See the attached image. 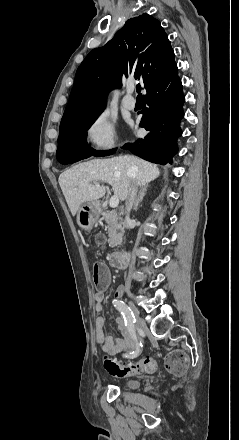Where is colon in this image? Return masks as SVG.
<instances>
[{"instance_id": "colon-1", "label": "colon", "mask_w": 239, "mask_h": 440, "mask_svg": "<svg viewBox=\"0 0 239 440\" xmlns=\"http://www.w3.org/2000/svg\"><path fill=\"white\" fill-rule=\"evenodd\" d=\"M102 240L101 236L97 237ZM93 282L96 287L103 288L108 281L105 266L96 262L93 265ZM166 368L173 374H182L187 367L186 356L180 351L171 352L166 358ZM104 367L113 376L126 377L136 374L152 373L156 369V363L151 358H144L134 362H124L115 360L109 356L104 357Z\"/></svg>"}]
</instances>
